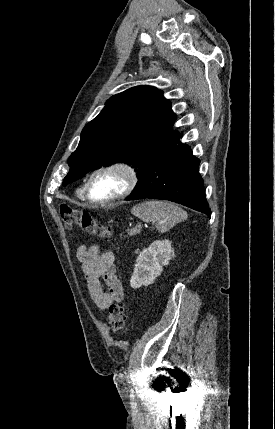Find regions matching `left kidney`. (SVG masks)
I'll use <instances>...</instances> for the list:
<instances>
[{
  "label": "left kidney",
  "mask_w": 275,
  "mask_h": 429,
  "mask_svg": "<svg viewBox=\"0 0 275 429\" xmlns=\"http://www.w3.org/2000/svg\"><path fill=\"white\" fill-rule=\"evenodd\" d=\"M169 240H156L148 248L143 249L136 259L130 285L133 289L148 286L161 275L163 266L175 256Z\"/></svg>",
  "instance_id": "left-kidney-1"
}]
</instances>
